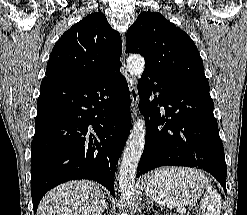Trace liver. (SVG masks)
<instances>
[{"mask_svg":"<svg viewBox=\"0 0 247 215\" xmlns=\"http://www.w3.org/2000/svg\"><path fill=\"white\" fill-rule=\"evenodd\" d=\"M106 204L99 185L71 181L49 191L39 204V215H102Z\"/></svg>","mask_w":247,"mask_h":215,"instance_id":"liver-1","label":"liver"}]
</instances>
